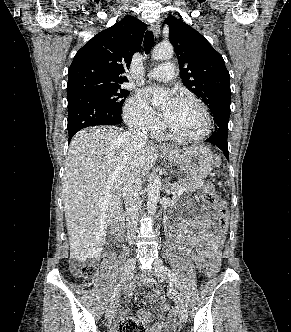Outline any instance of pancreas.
<instances>
[{"label": "pancreas", "mask_w": 291, "mask_h": 332, "mask_svg": "<svg viewBox=\"0 0 291 332\" xmlns=\"http://www.w3.org/2000/svg\"><path fill=\"white\" fill-rule=\"evenodd\" d=\"M203 185V179H181L171 185V192L174 196H176L181 187L184 188L185 192H195L196 190L201 189Z\"/></svg>", "instance_id": "cf45deb5"}]
</instances>
